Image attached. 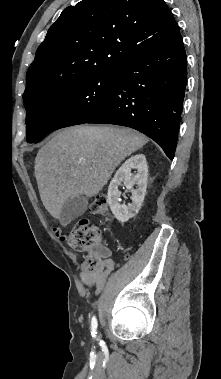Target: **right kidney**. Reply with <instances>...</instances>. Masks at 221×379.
Masks as SVG:
<instances>
[{"label": "right kidney", "mask_w": 221, "mask_h": 379, "mask_svg": "<svg viewBox=\"0 0 221 379\" xmlns=\"http://www.w3.org/2000/svg\"><path fill=\"white\" fill-rule=\"evenodd\" d=\"M135 169L136 174L131 170ZM148 166L143 154H136L126 160L117 170L108 187L107 201L115 218L125 223L140 210L147 188ZM122 184L131 191V203L121 204V192L118 187ZM137 185V189L133 186Z\"/></svg>", "instance_id": "1"}]
</instances>
